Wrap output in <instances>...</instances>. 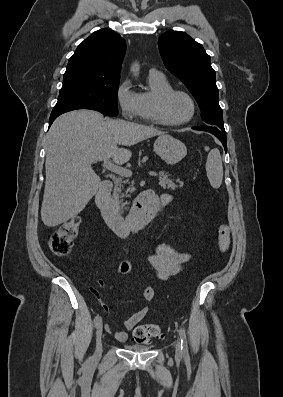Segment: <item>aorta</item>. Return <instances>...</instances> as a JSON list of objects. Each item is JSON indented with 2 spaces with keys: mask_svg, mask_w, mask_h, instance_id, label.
<instances>
[{
  "mask_svg": "<svg viewBox=\"0 0 283 397\" xmlns=\"http://www.w3.org/2000/svg\"><path fill=\"white\" fill-rule=\"evenodd\" d=\"M139 70H140V66H139L138 63L135 62V63L131 66V72L133 73V75H134L135 77L138 76Z\"/></svg>",
  "mask_w": 283,
  "mask_h": 397,
  "instance_id": "762f6f07",
  "label": "aorta"
}]
</instances>
